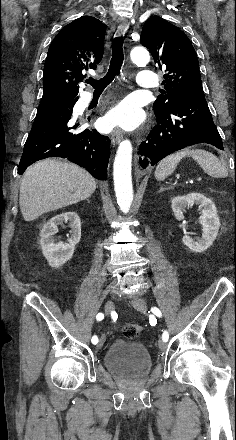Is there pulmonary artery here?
I'll use <instances>...</instances> for the list:
<instances>
[{
	"label": "pulmonary artery",
	"mask_w": 236,
	"mask_h": 440,
	"mask_svg": "<svg viewBox=\"0 0 236 440\" xmlns=\"http://www.w3.org/2000/svg\"><path fill=\"white\" fill-rule=\"evenodd\" d=\"M157 85V76L148 70L140 71L137 78V87L141 89H151ZM85 102L91 100V95L87 93L84 98Z\"/></svg>",
	"instance_id": "obj_1"
}]
</instances>
